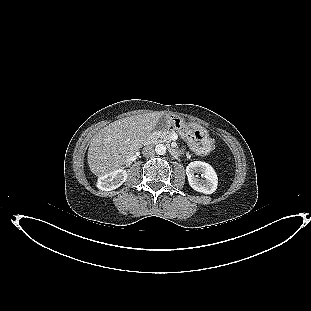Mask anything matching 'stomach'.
Here are the masks:
<instances>
[{
  "label": "stomach",
  "mask_w": 311,
  "mask_h": 311,
  "mask_svg": "<svg viewBox=\"0 0 311 311\" xmlns=\"http://www.w3.org/2000/svg\"><path fill=\"white\" fill-rule=\"evenodd\" d=\"M166 126H173L180 135L186 137L190 148L197 155H208L212 151L213 140L202 129L192 128L189 124L184 123L181 118L171 115L167 116V123L164 127Z\"/></svg>",
  "instance_id": "0dacf381"
}]
</instances>
